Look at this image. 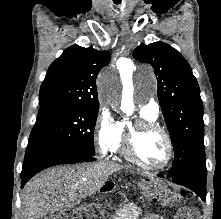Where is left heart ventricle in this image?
Wrapping results in <instances>:
<instances>
[{
    "instance_id": "b2bd125f",
    "label": "left heart ventricle",
    "mask_w": 221,
    "mask_h": 219,
    "mask_svg": "<svg viewBox=\"0 0 221 219\" xmlns=\"http://www.w3.org/2000/svg\"><path fill=\"white\" fill-rule=\"evenodd\" d=\"M135 150L138 157L148 165L160 166L167 157V144L164 137L155 131H145L136 139Z\"/></svg>"
}]
</instances>
